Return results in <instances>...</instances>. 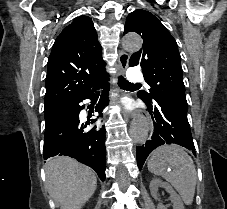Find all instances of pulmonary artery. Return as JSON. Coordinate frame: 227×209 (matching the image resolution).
Instances as JSON below:
<instances>
[{
  "instance_id": "pulmonary-artery-1",
  "label": "pulmonary artery",
  "mask_w": 227,
  "mask_h": 209,
  "mask_svg": "<svg viewBox=\"0 0 227 209\" xmlns=\"http://www.w3.org/2000/svg\"><path fill=\"white\" fill-rule=\"evenodd\" d=\"M124 78H127V83H143L144 73L136 70L135 66H130L129 73H124Z\"/></svg>"
}]
</instances>
